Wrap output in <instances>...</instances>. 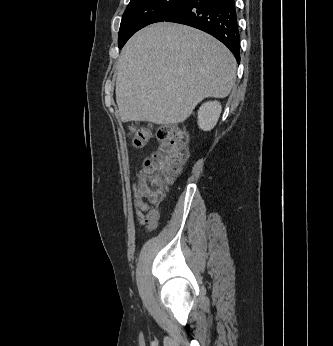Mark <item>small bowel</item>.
Masks as SVG:
<instances>
[{
	"mask_svg": "<svg viewBox=\"0 0 333 346\" xmlns=\"http://www.w3.org/2000/svg\"><path fill=\"white\" fill-rule=\"evenodd\" d=\"M135 215L139 224L146 230H154L160 221V211L157 207L148 204L138 192V185L133 184Z\"/></svg>",
	"mask_w": 333,
	"mask_h": 346,
	"instance_id": "obj_1",
	"label": "small bowel"
}]
</instances>
